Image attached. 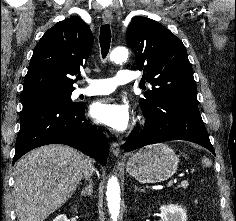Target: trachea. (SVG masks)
Segmentation results:
<instances>
[{"label":"trachea","mask_w":236,"mask_h":221,"mask_svg":"<svg viewBox=\"0 0 236 221\" xmlns=\"http://www.w3.org/2000/svg\"><path fill=\"white\" fill-rule=\"evenodd\" d=\"M111 43V30L109 24L102 25L100 28V46L102 57L105 58L109 52ZM78 79H82L81 76Z\"/></svg>","instance_id":"1"}]
</instances>
